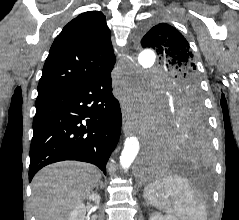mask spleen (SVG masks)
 <instances>
[{
    "mask_svg": "<svg viewBox=\"0 0 239 220\" xmlns=\"http://www.w3.org/2000/svg\"><path fill=\"white\" fill-rule=\"evenodd\" d=\"M144 195L151 205L180 220H207L205 203L180 176L166 175L156 179L145 187Z\"/></svg>",
    "mask_w": 239,
    "mask_h": 220,
    "instance_id": "obj_1",
    "label": "spleen"
}]
</instances>
